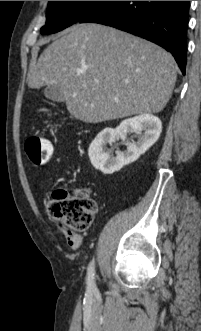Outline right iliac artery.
Here are the masks:
<instances>
[{
    "mask_svg": "<svg viewBox=\"0 0 201 331\" xmlns=\"http://www.w3.org/2000/svg\"><path fill=\"white\" fill-rule=\"evenodd\" d=\"M94 261H91L89 264V269H88V274H87V283H88V288L92 291L96 290L95 286V273H94Z\"/></svg>",
    "mask_w": 201,
    "mask_h": 331,
    "instance_id": "obj_1",
    "label": "right iliac artery"
}]
</instances>
